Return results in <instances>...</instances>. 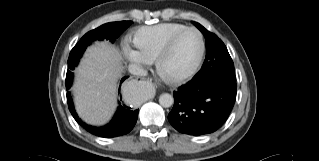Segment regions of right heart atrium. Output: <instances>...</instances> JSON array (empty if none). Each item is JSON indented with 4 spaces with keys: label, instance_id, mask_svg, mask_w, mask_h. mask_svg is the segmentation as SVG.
I'll list each match as a JSON object with an SVG mask.
<instances>
[{
    "label": "right heart atrium",
    "instance_id": "d8ad5b80",
    "mask_svg": "<svg viewBox=\"0 0 319 161\" xmlns=\"http://www.w3.org/2000/svg\"><path fill=\"white\" fill-rule=\"evenodd\" d=\"M124 54L129 61L134 63L146 64L149 62L147 59L142 57L137 50L132 49L130 47L124 48Z\"/></svg>",
    "mask_w": 319,
    "mask_h": 161
}]
</instances>
